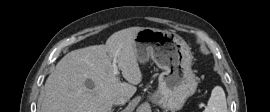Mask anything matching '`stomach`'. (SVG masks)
Returning a JSON list of instances; mask_svg holds the SVG:
<instances>
[{"label": "stomach", "instance_id": "obj_1", "mask_svg": "<svg viewBox=\"0 0 270 112\" xmlns=\"http://www.w3.org/2000/svg\"><path fill=\"white\" fill-rule=\"evenodd\" d=\"M134 40L137 61L144 64L152 59L163 70L158 78V90L150 100L166 111L180 110L198 85L191 69L190 47L174 32L149 27L137 32Z\"/></svg>", "mask_w": 270, "mask_h": 112}]
</instances>
